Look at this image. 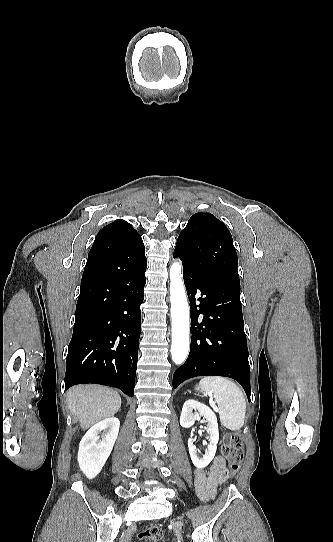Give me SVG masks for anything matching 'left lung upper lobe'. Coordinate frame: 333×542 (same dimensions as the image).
I'll return each instance as SVG.
<instances>
[{
    "mask_svg": "<svg viewBox=\"0 0 333 542\" xmlns=\"http://www.w3.org/2000/svg\"><path fill=\"white\" fill-rule=\"evenodd\" d=\"M175 251L187 266L240 285L231 233L211 213L199 212L189 219L178 237Z\"/></svg>",
    "mask_w": 333,
    "mask_h": 542,
    "instance_id": "1",
    "label": "left lung upper lobe"
}]
</instances>
